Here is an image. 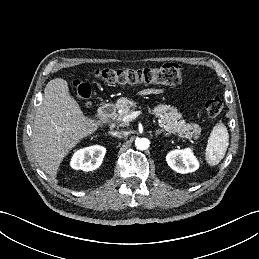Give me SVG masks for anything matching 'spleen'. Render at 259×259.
Returning <instances> with one entry per match:
<instances>
[{
  "label": "spleen",
  "mask_w": 259,
  "mask_h": 259,
  "mask_svg": "<svg viewBox=\"0 0 259 259\" xmlns=\"http://www.w3.org/2000/svg\"><path fill=\"white\" fill-rule=\"evenodd\" d=\"M228 145V130L222 122H219L213 127L206 147L205 157L210 166H215L221 162Z\"/></svg>",
  "instance_id": "3e777b00"
}]
</instances>
